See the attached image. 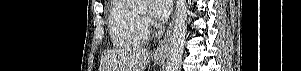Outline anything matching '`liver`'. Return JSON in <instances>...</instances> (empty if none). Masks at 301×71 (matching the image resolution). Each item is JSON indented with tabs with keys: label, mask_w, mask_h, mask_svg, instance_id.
<instances>
[{
	"label": "liver",
	"mask_w": 301,
	"mask_h": 71,
	"mask_svg": "<svg viewBox=\"0 0 301 71\" xmlns=\"http://www.w3.org/2000/svg\"><path fill=\"white\" fill-rule=\"evenodd\" d=\"M150 52L141 47L109 51L102 59L103 71H144Z\"/></svg>",
	"instance_id": "6515ba94"
}]
</instances>
